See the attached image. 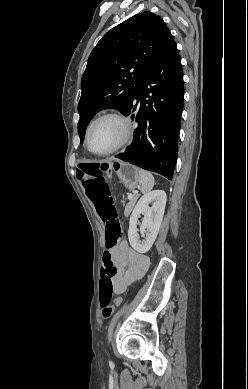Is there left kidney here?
Instances as JSON below:
<instances>
[{
	"label": "left kidney",
	"instance_id": "5707ae66",
	"mask_svg": "<svg viewBox=\"0 0 248 389\" xmlns=\"http://www.w3.org/2000/svg\"><path fill=\"white\" fill-rule=\"evenodd\" d=\"M166 193L163 190H154L142 196L136 204L129 221L128 239L132 248L140 253H146L152 247L164 216L166 205ZM153 206L150 208L151 202ZM143 214L142 236L145 238L140 241L137 233V221Z\"/></svg>",
	"mask_w": 248,
	"mask_h": 389
}]
</instances>
